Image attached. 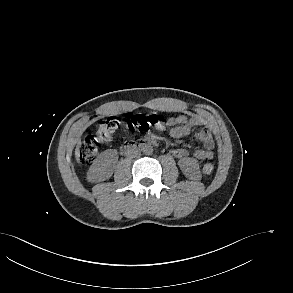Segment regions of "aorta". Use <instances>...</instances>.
<instances>
[{"instance_id":"aorta-1","label":"aorta","mask_w":293,"mask_h":293,"mask_svg":"<svg viewBox=\"0 0 293 293\" xmlns=\"http://www.w3.org/2000/svg\"><path fill=\"white\" fill-rule=\"evenodd\" d=\"M142 151L145 155H151L153 153V147L149 144L143 146Z\"/></svg>"}]
</instances>
